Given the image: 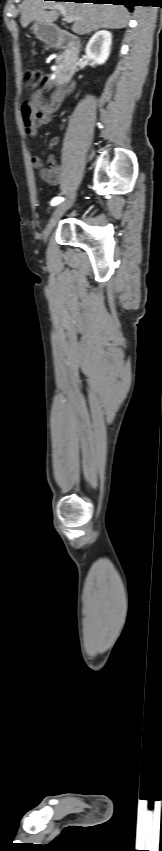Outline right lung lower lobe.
<instances>
[{"mask_svg":"<svg viewBox=\"0 0 162 851\" xmlns=\"http://www.w3.org/2000/svg\"><path fill=\"white\" fill-rule=\"evenodd\" d=\"M57 1H64V0H57ZM73 1H74V2H83V3H88V2H89V3H94V4H108V3H111V4H114V5H116V4H118V5H125V6H126V7H128L129 9H131V8L135 5V4H134V0H73Z\"/></svg>","mask_w":162,"mask_h":851,"instance_id":"98d812e1","label":"right lung lower lobe"}]
</instances>
